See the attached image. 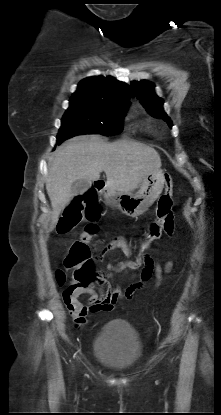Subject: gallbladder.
Segmentation results:
<instances>
[{
  "label": "gallbladder",
  "mask_w": 221,
  "mask_h": 415,
  "mask_svg": "<svg viewBox=\"0 0 221 415\" xmlns=\"http://www.w3.org/2000/svg\"><path fill=\"white\" fill-rule=\"evenodd\" d=\"M91 181L87 179H78L72 184V192L76 195L82 194L89 189Z\"/></svg>",
  "instance_id": "obj_1"
}]
</instances>
